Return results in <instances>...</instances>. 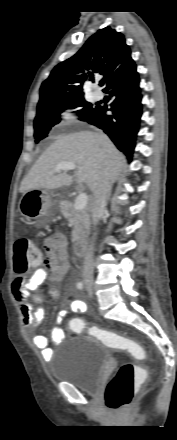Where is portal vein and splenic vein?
<instances>
[{
	"mask_svg": "<svg viewBox=\"0 0 177 440\" xmlns=\"http://www.w3.org/2000/svg\"><path fill=\"white\" fill-rule=\"evenodd\" d=\"M77 168V165L74 162H60L56 168L55 171H68V170H74ZM88 201V196L86 193H80L75 200L74 207L76 210H83L85 209Z\"/></svg>",
	"mask_w": 177,
	"mask_h": 440,
	"instance_id": "obj_1",
	"label": "portal vein and splenic vein"
}]
</instances>
